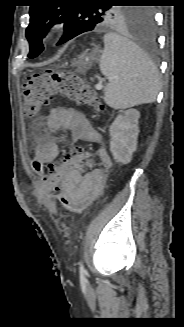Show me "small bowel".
<instances>
[{"instance_id":"1","label":"small bowel","mask_w":184,"mask_h":327,"mask_svg":"<svg viewBox=\"0 0 184 327\" xmlns=\"http://www.w3.org/2000/svg\"><path fill=\"white\" fill-rule=\"evenodd\" d=\"M46 127L50 131L67 130L75 140L97 144L98 161L91 170L84 173L81 166H86L87 160L93 159L92 153H60L55 138L39 137L32 166L44 165V170L48 173L40 175L45 183H40L39 188L29 189V194L36 199L35 205L41 206V199H49L54 190L59 189L72 200H87L91 203L102 193L107 172L113 165L100 134L85 115L61 106L52 109L47 117ZM57 159L58 163H55Z\"/></svg>"}]
</instances>
